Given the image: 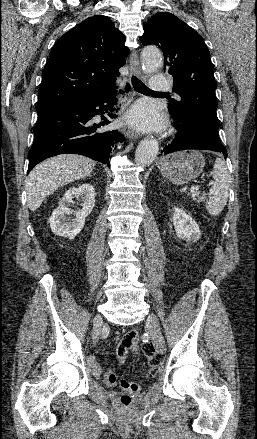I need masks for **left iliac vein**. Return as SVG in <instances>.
<instances>
[{
    "mask_svg": "<svg viewBox=\"0 0 257 439\" xmlns=\"http://www.w3.org/2000/svg\"><path fill=\"white\" fill-rule=\"evenodd\" d=\"M147 329L155 346L160 352L163 353L165 351V341L162 336L158 320L152 313H150L147 318Z\"/></svg>",
    "mask_w": 257,
    "mask_h": 439,
    "instance_id": "1",
    "label": "left iliac vein"
}]
</instances>
